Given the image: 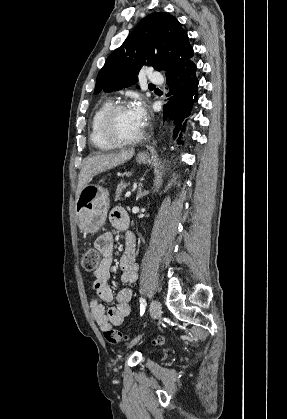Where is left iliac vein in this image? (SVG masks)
<instances>
[{
    "label": "left iliac vein",
    "instance_id": "left-iliac-vein-1",
    "mask_svg": "<svg viewBox=\"0 0 287 419\" xmlns=\"http://www.w3.org/2000/svg\"><path fill=\"white\" fill-rule=\"evenodd\" d=\"M150 314H151L152 319H157L161 315V303L156 299L152 300L150 304ZM140 338L141 336L136 337L129 344V347L134 346L139 341Z\"/></svg>",
    "mask_w": 287,
    "mask_h": 419
}]
</instances>
